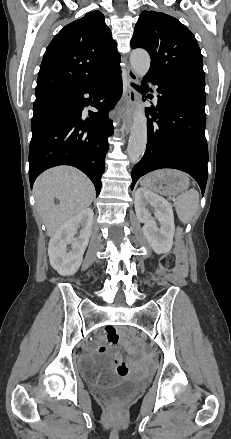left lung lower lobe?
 Instances as JSON below:
<instances>
[{
    "instance_id": "1",
    "label": "left lung lower lobe",
    "mask_w": 231,
    "mask_h": 439,
    "mask_svg": "<svg viewBox=\"0 0 231 439\" xmlns=\"http://www.w3.org/2000/svg\"><path fill=\"white\" fill-rule=\"evenodd\" d=\"M156 108H146L148 140L143 158L132 170L136 181L156 169L174 168L190 174L204 194L208 174V146L205 138V86L188 82H160ZM145 91L149 88L144 84Z\"/></svg>"
}]
</instances>
